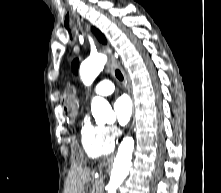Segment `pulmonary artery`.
Listing matches in <instances>:
<instances>
[{
  "label": "pulmonary artery",
  "mask_w": 221,
  "mask_h": 193,
  "mask_svg": "<svg viewBox=\"0 0 221 193\" xmlns=\"http://www.w3.org/2000/svg\"><path fill=\"white\" fill-rule=\"evenodd\" d=\"M114 89V84L110 80L104 79L98 83L94 93L97 96H105L113 93Z\"/></svg>",
  "instance_id": "1"
}]
</instances>
